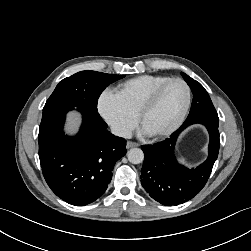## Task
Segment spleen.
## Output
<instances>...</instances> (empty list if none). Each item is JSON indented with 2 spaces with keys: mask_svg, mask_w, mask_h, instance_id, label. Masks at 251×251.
<instances>
[{
  "mask_svg": "<svg viewBox=\"0 0 251 251\" xmlns=\"http://www.w3.org/2000/svg\"><path fill=\"white\" fill-rule=\"evenodd\" d=\"M184 161H185V159H184V158H181V159H180V162H184Z\"/></svg>",
  "mask_w": 251,
  "mask_h": 251,
  "instance_id": "obj_1",
  "label": "spleen"
}]
</instances>
